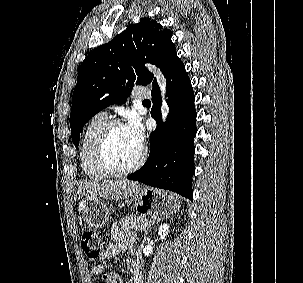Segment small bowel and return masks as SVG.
I'll return each mask as SVG.
<instances>
[{"mask_svg": "<svg viewBox=\"0 0 303 283\" xmlns=\"http://www.w3.org/2000/svg\"><path fill=\"white\" fill-rule=\"evenodd\" d=\"M113 237L115 241L110 243L100 256L102 261L110 260L121 253L131 250L134 245L133 236L131 234H127L120 231L117 226L113 227ZM132 267H133V276L126 283H141L143 275L140 265L137 263V261L133 260ZM102 271H103V266L97 265L92 269L91 274L93 276H98ZM116 278H117V283H123L119 276H116Z\"/></svg>", "mask_w": 303, "mask_h": 283, "instance_id": "c3829d8e", "label": "small bowel"}]
</instances>
